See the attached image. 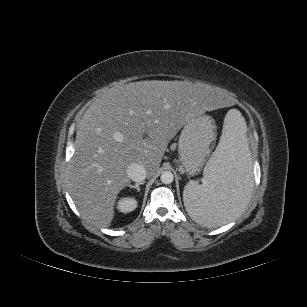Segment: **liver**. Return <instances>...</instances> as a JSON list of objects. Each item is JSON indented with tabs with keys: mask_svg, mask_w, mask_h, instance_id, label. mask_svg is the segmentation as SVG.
<instances>
[{
	"mask_svg": "<svg viewBox=\"0 0 307 307\" xmlns=\"http://www.w3.org/2000/svg\"><path fill=\"white\" fill-rule=\"evenodd\" d=\"M229 97L189 81H138L93 99L77 126L68 167L70 195L84 219L108 228L132 163L153 174L169 142L193 116L222 110Z\"/></svg>",
	"mask_w": 307,
	"mask_h": 307,
	"instance_id": "liver-1",
	"label": "liver"
}]
</instances>
